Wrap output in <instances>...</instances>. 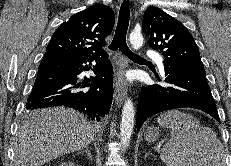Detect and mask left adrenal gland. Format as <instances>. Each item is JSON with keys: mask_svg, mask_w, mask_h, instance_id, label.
<instances>
[{"mask_svg": "<svg viewBox=\"0 0 231 166\" xmlns=\"http://www.w3.org/2000/svg\"><path fill=\"white\" fill-rule=\"evenodd\" d=\"M148 155H152V153L146 152V153H145V157H147Z\"/></svg>", "mask_w": 231, "mask_h": 166, "instance_id": "left-adrenal-gland-1", "label": "left adrenal gland"}]
</instances>
